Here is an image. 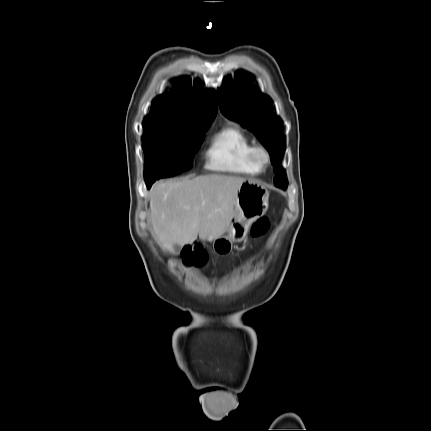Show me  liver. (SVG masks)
<instances>
[{"label": "liver", "instance_id": "liver-1", "mask_svg": "<svg viewBox=\"0 0 431 431\" xmlns=\"http://www.w3.org/2000/svg\"><path fill=\"white\" fill-rule=\"evenodd\" d=\"M245 178L220 174L155 183L149 193L150 221L164 251L223 234Z\"/></svg>", "mask_w": 431, "mask_h": 431}]
</instances>
